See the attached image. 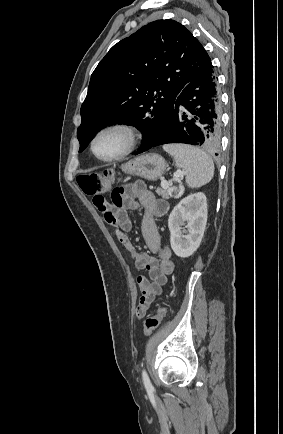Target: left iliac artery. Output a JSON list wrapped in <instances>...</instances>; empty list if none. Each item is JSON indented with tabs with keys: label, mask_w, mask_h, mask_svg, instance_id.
<instances>
[{
	"label": "left iliac artery",
	"mask_w": 283,
	"mask_h": 434,
	"mask_svg": "<svg viewBox=\"0 0 283 434\" xmlns=\"http://www.w3.org/2000/svg\"><path fill=\"white\" fill-rule=\"evenodd\" d=\"M142 379H143V383L145 385V388L148 392H152L153 391V386L151 384V381L149 379V376L146 372V370H143L142 372Z\"/></svg>",
	"instance_id": "44dca946"
}]
</instances>
